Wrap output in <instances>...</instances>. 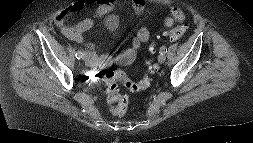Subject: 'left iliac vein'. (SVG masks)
<instances>
[{
    "label": "left iliac vein",
    "instance_id": "4c4485c4",
    "mask_svg": "<svg viewBox=\"0 0 253 143\" xmlns=\"http://www.w3.org/2000/svg\"><path fill=\"white\" fill-rule=\"evenodd\" d=\"M166 60V56L164 54H161L159 57H158V61L159 63H164Z\"/></svg>",
    "mask_w": 253,
    "mask_h": 143
}]
</instances>
